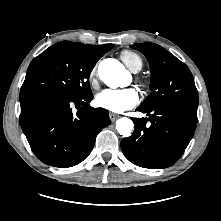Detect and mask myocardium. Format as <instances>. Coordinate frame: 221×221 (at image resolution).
Returning a JSON list of instances; mask_svg holds the SVG:
<instances>
[{"instance_id": "1", "label": "myocardium", "mask_w": 221, "mask_h": 221, "mask_svg": "<svg viewBox=\"0 0 221 221\" xmlns=\"http://www.w3.org/2000/svg\"><path fill=\"white\" fill-rule=\"evenodd\" d=\"M141 84H142L143 87H147V85H148V83H147L146 80H142V81H141Z\"/></svg>"}]
</instances>
